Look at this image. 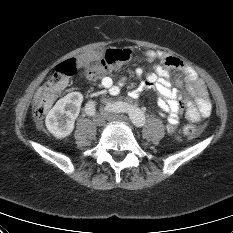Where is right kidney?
Wrapping results in <instances>:
<instances>
[{
    "label": "right kidney",
    "mask_w": 233,
    "mask_h": 233,
    "mask_svg": "<svg viewBox=\"0 0 233 233\" xmlns=\"http://www.w3.org/2000/svg\"><path fill=\"white\" fill-rule=\"evenodd\" d=\"M83 95L80 92H71L59 99L46 116V127L57 139L69 136L75 119L78 117Z\"/></svg>",
    "instance_id": "right-kidney-1"
}]
</instances>
